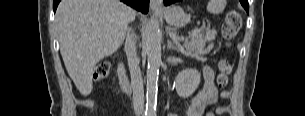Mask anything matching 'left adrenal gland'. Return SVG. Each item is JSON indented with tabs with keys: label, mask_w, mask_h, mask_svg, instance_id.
<instances>
[{
	"label": "left adrenal gland",
	"mask_w": 305,
	"mask_h": 116,
	"mask_svg": "<svg viewBox=\"0 0 305 116\" xmlns=\"http://www.w3.org/2000/svg\"><path fill=\"white\" fill-rule=\"evenodd\" d=\"M167 49L168 50L173 49V50L179 51L178 46L174 45L171 40H168Z\"/></svg>",
	"instance_id": "left-adrenal-gland-1"
}]
</instances>
